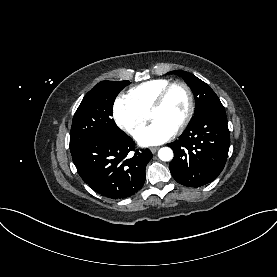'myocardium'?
Here are the masks:
<instances>
[{"mask_svg":"<svg viewBox=\"0 0 277 277\" xmlns=\"http://www.w3.org/2000/svg\"><path fill=\"white\" fill-rule=\"evenodd\" d=\"M175 87H182L188 96V110L187 113L182 120V122L177 126L176 131L183 130L191 121L194 111H195V98L192 89L190 86L183 81H174L169 83L157 96L152 106L150 107L149 114L159 110L165 103L169 93Z\"/></svg>","mask_w":277,"mask_h":277,"instance_id":"obj_1","label":"myocardium"}]
</instances>
